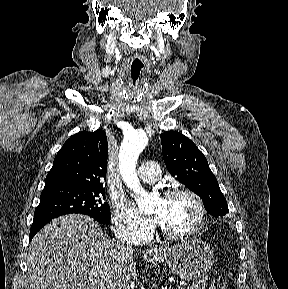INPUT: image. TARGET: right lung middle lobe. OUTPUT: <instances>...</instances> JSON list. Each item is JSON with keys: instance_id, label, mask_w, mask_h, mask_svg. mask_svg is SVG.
<instances>
[{"instance_id": "right-lung-middle-lobe-1", "label": "right lung middle lobe", "mask_w": 288, "mask_h": 289, "mask_svg": "<svg viewBox=\"0 0 288 289\" xmlns=\"http://www.w3.org/2000/svg\"><path fill=\"white\" fill-rule=\"evenodd\" d=\"M104 200L103 187L47 188L41 193L34 220L53 219L69 213H80L106 224L110 222V208Z\"/></svg>"}]
</instances>
